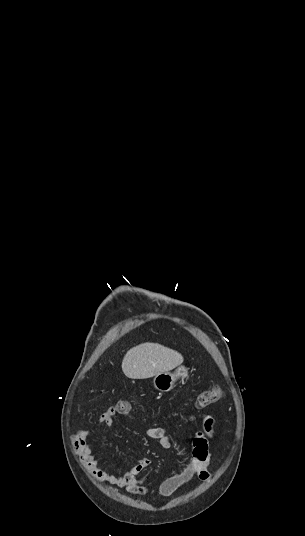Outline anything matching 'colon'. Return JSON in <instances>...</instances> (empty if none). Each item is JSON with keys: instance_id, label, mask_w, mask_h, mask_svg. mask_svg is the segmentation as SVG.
Returning <instances> with one entry per match:
<instances>
[{"instance_id": "1", "label": "colon", "mask_w": 305, "mask_h": 536, "mask_svg": "<svg viewBox=\"0 0 305 536\" xmlns=\"http://www.w3.org/2000/svg\"><path fill=\"white\" fill-rule=\"evenodd\" d=\"M222 397V390L219 386L214 387L210 390H204L200 392L196 400V409L203 410L209 407L210 405L218 402ZM115 407V416L127 414L131 410V403L128 400L120 399L116 403L112 404ZM103 423V422H102ZM71 444H77L78 438L71 437ZM73 450H76V447H73Z\"/></svg>"}]
</instances>
